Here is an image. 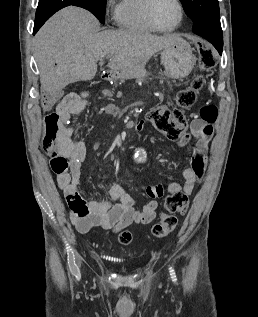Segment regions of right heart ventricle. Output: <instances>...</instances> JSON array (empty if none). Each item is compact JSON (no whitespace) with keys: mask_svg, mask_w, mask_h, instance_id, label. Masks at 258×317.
<instances>
[{"mask_svg":"<svg viewBox=\"0 0 258 317\" xmlns=\"http://www.w3.org/2000/svg\"><path fill=\"white\" fill-rule=\"evenodd\" d=\"M149 0H118L114 19L122 30L150 34L155 30L145 19V8Z\"/></svg>","mask_w":258,"mask_h":317,"instance_id":"obj_1","label":"right heart ventricle"}]
</instances>
